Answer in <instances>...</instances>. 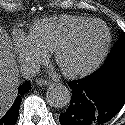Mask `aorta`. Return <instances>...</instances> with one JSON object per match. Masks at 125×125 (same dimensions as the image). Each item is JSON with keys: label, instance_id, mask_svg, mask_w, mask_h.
<instances>
[{"label": "aorta", "instance_id": "aorta-1", "mask_svg": "<svg viewBox=\"0 0 125 125\" xmlns=\"http://www.w3.org/2000/svg\"><path fill=\"white\" fill-rule=\"evenodd\" d=\"M46 97L51 107L64 108L70 103L71 92L61 83L53 84L49 87Z\"/></svg>", "mask_w": 125, "mask_h": 125}]
</instances>
